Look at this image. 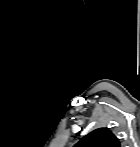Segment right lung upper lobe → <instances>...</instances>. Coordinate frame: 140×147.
<instances>
[{
	"mask_svg": "<svg viewBox=\"0 0 140 147\" xmlns=\"http://www.w3.org/2000/svg\"><path fill=\"white\" fill-rule=\"evenodd\" d=\"M77 147H120L116 136L107 128H99L83 137Z\"/></svg>",
	"mask_w": 140,
	"mask_h": 147,
	"instance_id": "cb5924a9",
	"label": "right lung upper lobe"
}]
</instances>
